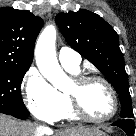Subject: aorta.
Returning a JSON list of instances; mask_svg holds the SVG:
<instances>
[{
  "instance_id": "aorta-1",
  "label": "aorta",
  "mask_w": 136,
  "mask_h": 136,
  "mask_svg": "<svg viewBox=\"0 0 136 136\" xmlns=\"http://www.w3.org/2000/svg\"><path fill=\"white\" fill-rule=\"evenodd\" d=\"M56 29L48 25L40 34L36 47L35 58L40 73L57 89L64 90L69 78L61 69L55 51Z\"/></svg>"
}]
</instances>
